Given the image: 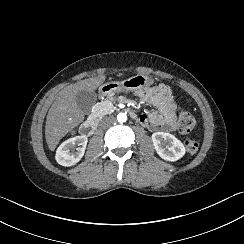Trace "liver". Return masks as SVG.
Segmentation results:
<instances>
[{"label": "liver", "mask_w": 244, "mask_h": 244, "mask_svg": "<svg viewBox=\"0 0 244 244\" xmlns=\"http://www.w3.org/2000/svg\"><path fill=\"white\" fill-rule=\"evenodd\" d=\"M105 79V75L85 79L66 86L58 93L48 112L45 125L46 142L51 151L85 119V114L77 104L76 95L81 91L94 92Z\"/></svg>", "instance_id": "liver-1"}]
</instances>
